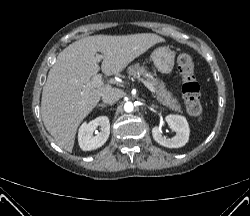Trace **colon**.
Wrapping results in <instances>:
<instances>
[{
  "label": "colon",
  "instance_id": "5ec220e1",
  "mask_svg": "<svg viewBox=\"0 0 250 216\" xmlns=\"http://www.w3.org/2000/svg\"><path fill=\"white\" fill-rule=\"evenodd\" d=\"M178 69L182 77V95L188 113L201 120L203 108L200 102V85L194 73V60L189 53L183 52L177 59Z\"/></svg>",
  "mask_w": 250,
  "mask_h": 216
}]
</instances>
